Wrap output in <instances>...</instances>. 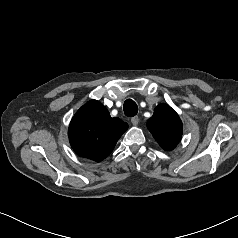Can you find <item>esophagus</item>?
Listing matches in <instances>:
<instances>
[{
	"instance_id": "esophagus-1",
	"label": "esophagus",
	"mask_w": 238,
	"mask_h": 238,
	"mask_svg": "<svg viewBox=\"0 0 238 238\" xmlns=\"http://www.w3.org/2000/svg\"><path fill=\"white\" fill-rule=\"evenodd\" d=\"M131 123L134 125V126H137L139 124V117L138 116H134L131 118Z\"/></svg>"
}]
</instances>
